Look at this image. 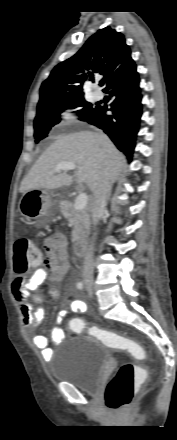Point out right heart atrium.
<instances>
[{
    "label": "right heart atrium",
    "mask_w": 177,
    "mask_h": 440,
    "mask_svg": "<svg viewBox=\"0 0 177 440\" xmlns=\"http://www.w3.org/2000/svg\"><path fill=\"white\" fill-rule=\"evenodd\" d=\"M60 118H61L63 121L70 122V121H72V120L75 118V115H74V113H73V111H72L71 109L67 108V109H64V110L60 113Z\"/></svg>",
    "instance_id": "d8ad5b80"
}]
</instances>
